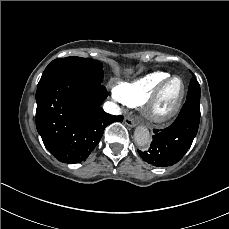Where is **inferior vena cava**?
<instances>
[{
    "mask_svg": "<svg viewBox=\"0 0 229 229\" xmlns=\"http://www.w3.org/2000/svg\"><path fill=\"white\" fill-rule=\"evenodd\" d=\"M103 109L106 113L112 114V115H119L120 109L117 105L113 104L112 102H105L103 105Z\"/></svg>",
    "mask_w": 229,
    "mask_h": 229,
    "instance_id": "602c4592",
    "label": "inferior vena cava"
}]
</instances>
